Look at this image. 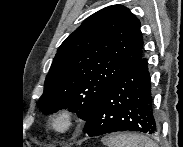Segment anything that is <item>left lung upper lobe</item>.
I'll return each instance as SVG.
<instances>
[{
  "mask_svg": "<svg viewBox=\"0 0 183 147\" xmlns=\"http://www.w3.org/2000/svg\"><path fill=\"white\" fill-rule=\"evenodd\" d=\"M143 55L140 21L122 5L88 17L59 47L38 105L87 120L106 89Z\"/></svg>",
  "mask_w": 183,
  "mask_h": 147,
  "instance_id": "left-lung-upper-lobe-1",
  "label": "left lung upper lobe"
}]
</instances>
